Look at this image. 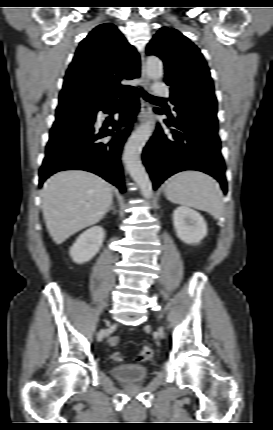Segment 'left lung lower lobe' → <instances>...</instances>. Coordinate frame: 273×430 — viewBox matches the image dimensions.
I'll use <instances>...</instances> for the list:
<instances>
[{
  "mask_svg": "<svg viewBox=\"0 0 273 430\" xmlns=\"http://www.w3.org/2000/svg\"><path fill=\"white\" fill-rule=\"evenodd\" d=\"M157 112L163 114L160 109ZM164 122L169 131L165 132L159 125L143 151V161L154 189L177 172L198 170L216 178L226 193L225 164L217 119H194L178 114L176 118L170 116Z\"/></svg>",
  "mask_w": 273,
  "mask_h": 430,
  "instance_id": "obj_1",
  "label": "left lung lower lobe"
}]
</instances>
